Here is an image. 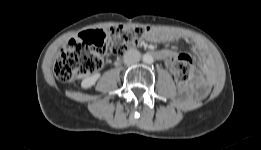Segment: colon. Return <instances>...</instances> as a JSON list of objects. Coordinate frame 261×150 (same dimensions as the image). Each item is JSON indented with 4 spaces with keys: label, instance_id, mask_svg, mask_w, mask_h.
Returning a JSON list of instances; mask_svg holds the SVG:
<instances>
[{
    "label": "colon",
    "instance_id": "5ec220e1",
    "mask_svg": "<svg viewBox=\"0 0 261 150\" xmlns=\"http://www.w3.org/2000/svg\"><path fill=\"white\" fill-rule=\"evenodd\" d=\"M149 29L140 26H116L110 29L83 32L73 38L60 51L54 73L58 80L67 82L86 76L98 70L107 52L116 56L137 46ZM166 65L174 73L181 86H187L192 79V60L187 54H180L167 60Z\"/></svg>",
    "mask_w": 261,
    "mask_h": 150
}]
</instances>
